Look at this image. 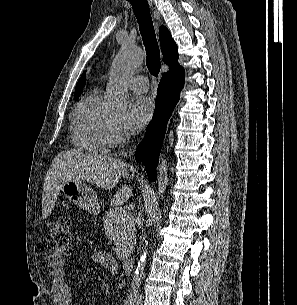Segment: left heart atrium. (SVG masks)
<instances>
[{
    "mask_svg": "<svg viewBox=\"0 0 297 305\" xmlns=\"http://www.w3.org/2000/svg\"><path fill=\"white\" fill-rule=\"evenodd\" d=\"M154 113V104L147 96L135 97L129 106V115L126 126L137 132L143 129L151 120Z\"/></svg>",
    "mask_w": 297,
    "mask_h": 305,
    "instance_id": "obj_1",
    "label": "left heart atrium"
}]
</instances>
